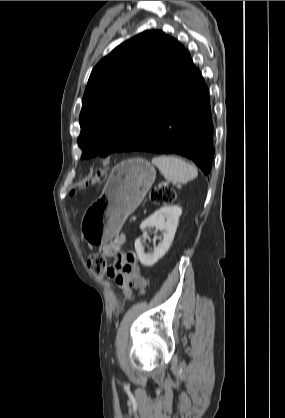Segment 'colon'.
<instances>
[{
  "label": "colon",
  "instance_id": "obj_1",
  "mask_svg": "<svg viewBox=\"0 0 285 418\" xmlns=\"http://www.w3.org/2000/svg\"><path fill=\"white\" fill-rule=\"evenodd\" d=\"M100 181H103L104 178L102 176H98ZM148 198L151 202L155 204H165L170 203L175 200V193L167 188H156L152 190ZM88 263L91 270L99 277H103L107 275V262L105 255L103 253H95L89 256Z\"/></svg>",
  "mask_w": 285,
  "mask_h": 418
}]
</instances>
